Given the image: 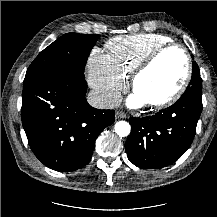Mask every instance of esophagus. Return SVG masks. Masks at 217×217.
Instances as JSON below:
<instances>
[{
  "label": "esophagus",
  "instance_id": "obj_1",
  "mask_svg": "<svg viewBox=\"0 0 217 217\" xmlns=\"http://www.w3.org/2000/svg\"><path fill=\"white\" fill-rule=\"evenodd\" d=\"M115 116H116L117 119H124V118L127 117V115L122 111H117Z\"/></svg>",
  "mask_w": 217,
  "mask_h": 217
}]
</instances>
